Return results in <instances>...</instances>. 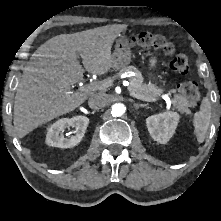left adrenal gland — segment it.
I'll return each mask as SVG.
<instances>
[{"instance_id": "a2214340", "label": "left adrenal gland", "mask_w": 221, "mask_h": 221, "mask_svg": "<svg viewBox=\"0 0 221 221\" xmlns=\"http://www.w3.org/2000/svg\"><path fill=\"white\" fill-rule=\"evenodd\" d=\"M146 106V104H135L134 103V108L135 109H138V108H140V107H145Z\"/></svg>"}]
</instances>
